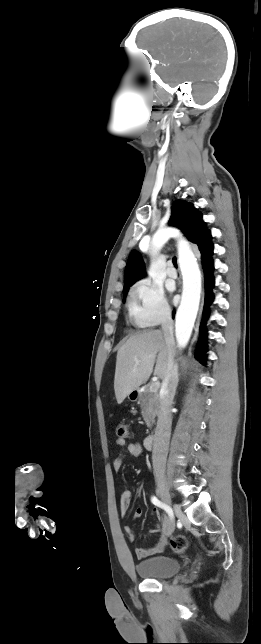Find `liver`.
Here are the masks:
<instances>
[{
	"label": "liver",
	"instance_id": "obj_1",
	"mask_svg": "<svg viewBox=\"0 0 261 644\" xmlns=\"http://www.w3.org/2000/svg\"><path fill=\"white\" fill-rule=\"evenodd\" d=\"M170 348L160 330H146L131 336L118 350L114 378L117 403L138 389L151 376L164 379ZM157 358V359H156ZM136 360L139 364H136Z\"/></svg>",
	"mask_w": 261,
	"mask_h": 644
}]
</instances>
